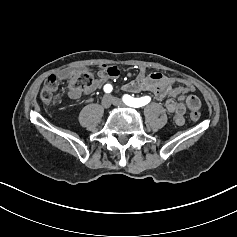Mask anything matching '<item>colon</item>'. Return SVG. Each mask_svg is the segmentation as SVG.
Segmentation results:
<instances>
[{
	"label": "colon",
	"instance_id": "colon-1",
	"mask_svg": "<svg viewBox=\"0 0 237 237\" xmlns=\"http://www.w3.org/2000/svg\"><path fill=\"white\" fill-rule=\"evenodd\" d=\"M94 82V77L91 73L86 71L73 72L70 80L69 87L75 91H82L89 88ZM58 79L54 75H50L44 82V87L41 91V100L44 103H53L58 99ZM193 121L200 119V112L193 110L190 113Z\"/></svg>",
	"mask_w": 237,
	"mask_h": 237
}]
</instances>
